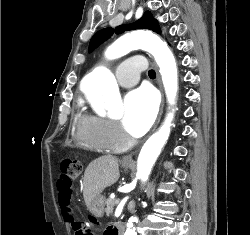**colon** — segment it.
I'll return each mask as SVG.
<instances>
[{
	"label": "colon",
	"instance_id": "obj_1",
	"mask_svg": "<svg viewBox=\"0 0 250 235\" xmlns=\"http://www.w3.org/2000/svg\"><path fill=\"white\" fill-rule=\"evenodd\" d=\"M82 171V165L80 161L74 159H65L60 165V176L58 179V188L71 191V185L73 181L80 175ZM66 222H70L74 229L77 231L76 235H92L87 229L82 225L75 222L72 215H68L65 218Z\"/></svg>",
	"mask_w": 250,
	"mask_h": 235
}]
</instances>
